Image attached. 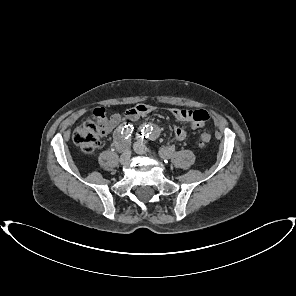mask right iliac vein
I'll list each match as a JSON object with an SVG mask.
<instances>
[{"mask_svg": "<svg viewBox=\"0 0 296 296\" xmlns=\"http://www.w3.org/2000/svg\"><path fill=\"white\" fill-rule=\"evenodd\" d=\"M130 157H131V151L129 150V148H126L124 153L120 157V163L126 164L130 160Z\"/></svg>", "mask_w": 296, "mask_h": 296, "instance_id": "right-iliac-vein-1", "label": "right iliac vein"}]
</instances>
